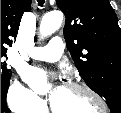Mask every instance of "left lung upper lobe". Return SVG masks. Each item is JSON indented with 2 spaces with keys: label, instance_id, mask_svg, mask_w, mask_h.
I'll return each mask as SVG.
<instances>
[{
  "label": "left lung upper lobe",
  "instance_id": "left-lung-upper-lobe-1",
  "mask_svg": "<svg viewBox=\"0 0 121 113\" xmlns=\"http://www.w3.org/2000/svg\"><path fill=\"white\" fill-rule=\"evenodd\" d=\"M64 37L80 76L121 113V29L108 0H56Z\"/></svg>",
  "mask_w": 121,
  "mask_h": 113
}]
</instances>
